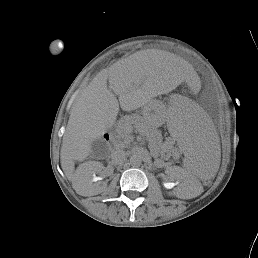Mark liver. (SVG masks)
Wrapping results in <instances>:
<instances>
[{"instance_id": "1", "label": "liver", "mask_w": 258, "mask_h": 258, "mask_svg": "<svg viewBox=\"0 0 258 258\" xmlns=\"http://www.w3.org/2000/svg\"><path fill=\"white\" fill-rule=\"evenodd\" d=\"M127 65V68H126ZM148 64H141L133 55L114 64L109 70L110 88L125 105V86L134 75L157 74ZM107 75L99 72L82 93L72 110L66 126L61 149V166L67 174L72 188L79 195H91L92 185L87 183L92 174L100 172L102 165L88 161L75 169V160L82 161L89 156L90 142L98 139L108 129V123L116 116L118 101L107 88Z\"/></svg>"}]
</instances>
